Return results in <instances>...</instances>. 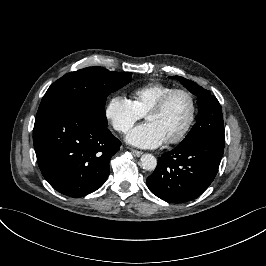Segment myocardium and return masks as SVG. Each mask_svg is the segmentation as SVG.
Segmentation results:
<instances>
[{
  "instance_id": "f54148a6",
  "label": "myocardium",
  "mask_w": 266,
  "mask_h": 266,
  "mask_svg": "<svg viewBox=\"0 0 266 266\" xmlns=\"http://www.w3.org/2000/svg\"><path fill=\"white\" fill-rule=\"evenodd\" d=\"M176 94H184L188 97L191 104V114L188 122L180 131V133L175 138L165 140V142L170 145H175L180 143L187 136V134L189 133V131L191 130L192 126L195 123L197 116V102L194 94L186 88H173L168 92L164 93L158 99L157 102H155L152 106L149 107V109L145 113V118H146L149 113H156L163 111L168 102L170 101V99Z\"/></svg>"
}]
</instances>
